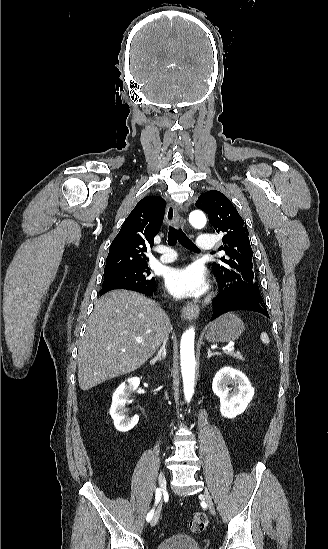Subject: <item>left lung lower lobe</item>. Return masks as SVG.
Returning <instances> with one entry per match:
<instances>
[{
    "label": "left lung lower lobe",
    "mask_w": 328,
    "mask_h": 549,
    "mask_svg": "<svg viewBox=\"0 0 328 549\" xmlns=\"http://www.w3.org/2000/svg\"><path fill=\"white\" fill-rule=\"evenodd\" d=\"M220 291L213 300V316L211 320L216 319L220 315L234 310H249L259 312L269 317L264 302L253 295L243 294L240 292L224 291L219 283Z\"/></svg>",
    "instance_id": "obj_1"
}]
</instances>
